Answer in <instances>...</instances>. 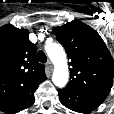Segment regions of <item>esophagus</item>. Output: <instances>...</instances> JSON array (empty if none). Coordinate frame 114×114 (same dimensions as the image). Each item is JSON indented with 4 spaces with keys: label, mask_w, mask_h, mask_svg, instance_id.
Masks as SVG:
<instances>
[{
    "label": "esophagus",
    "mask_w": 114,
    "mask_h": 114,
    "mask_svg": "<svg viewBox=\"0 0 114 114\" xmlns=\"http://www.w3.org/2000/svg\"><path fill=\"white\" fill-rule=\"evenodd\" d=\"M47 68H48V70L50 72H52V70H53V64H52V62L50 60L47 62Z\"/></svg>",
    "instance_id": "esophagus-1"
}]
</instances>
